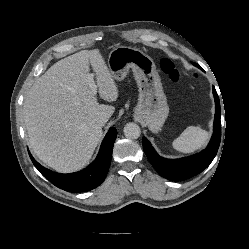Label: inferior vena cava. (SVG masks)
Segmentation results:
<instances>
[{
	"instance_id": "inferior-vena-cava-1",
	"label": "inferior vena cava",
	"mask_w": 249,
	"mask_h": 249,
	"mask_svg": "<svg viewBox=\"0 0 249 249\" xmlns=\"http://www.w3.org/2000/svg\"><path fill=\"white\" fill-rule=\"evenodd\" d=\"M108 121L107 116H101L97 119L99 125L103 126Z\"/></svg>"
}]
</instances>
